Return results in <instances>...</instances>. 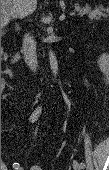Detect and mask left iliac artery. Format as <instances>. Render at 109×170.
<instances>
[{"instance_id": "left-iliac-artery-1", "label": "left iliac artery", "mask_w": 109, "mask_h": 170, "mask_svg": "<svg viewBox=\"0 0 109 170\" xmlns=\"http://www.w3.org/2000/svg\"><path fill=\"white\" fill-rule=\"evenodd\" d=\"M80 164L83 168L85 167V163L81 162Z\"/></svg>"}]
</instances>
